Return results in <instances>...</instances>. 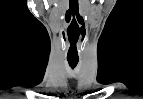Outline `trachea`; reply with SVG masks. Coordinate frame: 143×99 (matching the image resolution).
<instances>
[{"instance_id":"trachea-1","label":"trachea","mask_w":143,"mask_h":99,"mask_svg":"<svg viewBox=\"0 0 143 99\" xmlns=\"http://www.w3.org/2000/svg\"><path fill=\"white\" fill-rule=\"evenodd\" d=\"M68 63L71 68H75L78 63V60H68Z\"/></svg>"}]
</instances>
